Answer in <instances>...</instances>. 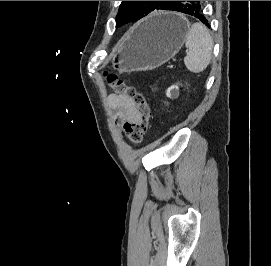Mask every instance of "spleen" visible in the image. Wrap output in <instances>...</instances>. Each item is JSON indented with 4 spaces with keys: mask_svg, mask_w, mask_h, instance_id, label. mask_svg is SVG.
Instances as JSON below:
<instances>
[{
    "mask_svg": "<svg viewBox=\"0 0 271 266\" xmlns=\"http://www.w3.org/2000/svg\"><path fill=\"white\" fill-rule=\"evenodd\" d=\"M185 46L187 55L184 57L186 68L193 73L204 71L210 64L213 39L209 30L201 23H194L190 27L186 37Z\"/></svg>",
    "mask_w": 271,
    "mask_h": 266,
    "instance_id": "spleen-1",
    "label": "spleen"
}]
</instances>
